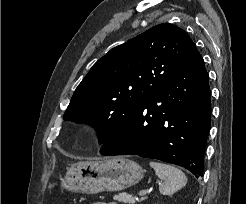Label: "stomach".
<instances>
[{
	"label": "stomach",
	"mask_w": 246,
	"mask_h": 204,
	"mask_svg": "<svg viewBox=\"0 0 246 204\" xmlns=\"http://www.w3.org/2000/svg\"><path fill=\"white\" fill-rule=\"evenodd\" d=\"M144 170L135 161L116 157L102 161H85L72 165L61 179V187L85 194L122 191L137 184Z\"/></svg>",
	"instance_id": "stomach-1"
}]
</instances>
